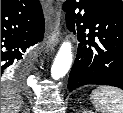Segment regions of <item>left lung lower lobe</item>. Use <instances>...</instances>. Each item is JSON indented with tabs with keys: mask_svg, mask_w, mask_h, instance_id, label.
Instances as JSON below:
<instances>
[{
	"mask_svg": "<svg viewBox=\"0 0 123 113\" xmlns=\"http://www.w3.org/2000/svg\"><path fill=\"white\" fill-rule=\"evenodd\" d=\"M64 11L68 29L79 40L69 91L87 84L123 89L122 1L67 0Z\"/></svg>",
	"mask_w": 123,
	"mask_h": 113,
	"instance_id": "0a47b994",
	"label": "left lung lower lobe"
}]
</instances>
